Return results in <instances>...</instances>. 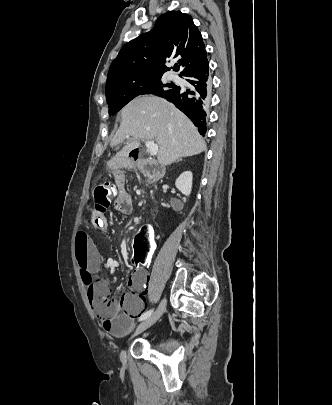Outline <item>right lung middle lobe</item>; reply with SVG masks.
<instances>
[{"label":"right lung middle lobe","mask_w":332,"mask_h":405,"mask_svg":"<svg viewBox=\"0 0 332 405\" xmlns=\"http://www.w3.org/2000/svg\"><path fill=\"white\" fill-rule=\"evenodd\" d=\"M161 76L128 78L106 90L109 115H114L138 95L155 94L158 96L170 91L175 84H163Z\"/></svg>","instance_id":"right-lung-middle-lobe-1"}]
</instances>
